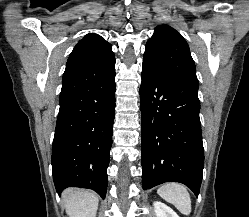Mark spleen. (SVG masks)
Returning a JSON list of instances; mask_svg holds the SVG:
<instances>
[{
	"label": "spleen",
	"instance_id": "1",
	"mask_svg": "<svg viewBox=\"0 0 249 217\" xmlns=\"http://www.w3.org/2000/svg\"><path fill=\"white\" fill-rule=\"evenodd\" d=\"M157 193L167 202L173 204L182 214L191 213V198L187 188L180 183H166L158 188Z\"/></svg>",
	"mask_w": 249,
	"mask_h": 217
}]
</instances>
